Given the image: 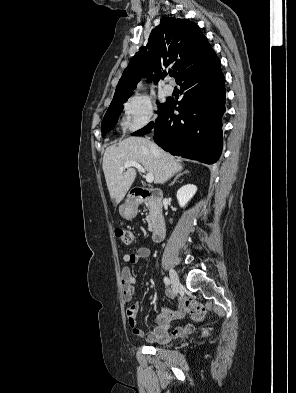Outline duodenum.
<instances>
[{
	"instance_id": "obj_1",
	"label": "duodenum",
	"mask_w": 296,
	"mask_h": 393,
	"mask_svg": "<svg viewBox=\"0 0 296 393\" xmlns=\"http://www.w3.org/2000/svg\"><path fill=\"white\" fill-rule=\"evenodd\" d=\"M130 200L135 204L149 200L154 205L152 239L155 242L163 241L167 232L166 222L161 208L163 193L158 189L137 187L132 192Z\"/></svg>"
}]
</instances>
